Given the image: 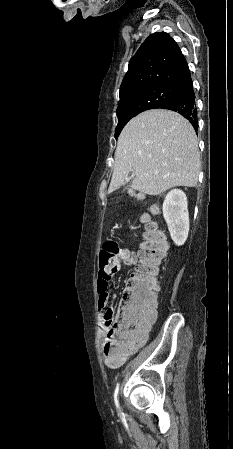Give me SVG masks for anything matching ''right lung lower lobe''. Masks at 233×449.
Listing matches in <instances>:
<instances>
[{
	"mask_svg": "<svg viewBox=\"0 0 233 449\" xmlns=\"http://www.w3.org/2000/svg\"><path fill=\"white\" fill-rule=\"evenodd\" d=\"M180 96L160 105L158 108L178 112L190 121L195 130L198 129L197 109L192 80L179 87Z\"/></svg>",
	"mask_w": 233,
	"mask_h": 449,
	"instance_id": "1",
	"label": "right lung lower lobe"
}]
</instances>
